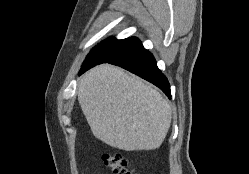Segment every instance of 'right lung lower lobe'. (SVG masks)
Masks as SVG:
<instances>
[{
	"label": "right lung lower lobe",
	"mask_w": 249,
	"mask_h": 174,
	"mask_svg": "<svg viewBox=\"0 0 249 174\" xmlns=\"http://www.w3.org/2000/svg\"><path fill=\"white\" fill-rule=\"evenodd\" d=\"M106 62L120 66L153 83L159 87L169 98H171L170 85L167 78L158 69L153 55L143 46L133 49L116 59L109 61H99L90 66L82 67L79 74L84 73L95 65Z\"/></svg>",
	"instance_id": "obj_1"
}]
</instances>
